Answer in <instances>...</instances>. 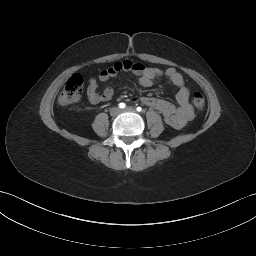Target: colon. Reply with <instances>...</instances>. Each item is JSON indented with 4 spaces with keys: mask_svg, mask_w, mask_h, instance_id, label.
<instances>
[{
    "mask_svg": "<svg viewBox=\"0 0 256 256\" xmlns=\"http://www.w3.org/2000/svg\"><path fill=\"white\" fill-rule=\"evenodd\" d=\"M84 79L80 74L71 75L65 83V86L59 96L61 105H70L77 102L82 94ZM192 104L197 110L205 107V97L201 93H195L192 97Z\"/></svg>",
    "mask_w": 256,
    "mask_h": 256,
    "instance_id": "5ec220e1",
    "label": "colon"
}]
</instances>
